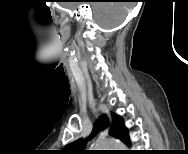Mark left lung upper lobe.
<instances>
[{
	"label": "left lung upper lobe",
	"instance_id": "1",
	"mask_svg": "<svg viewBox=\"0 0 188 154\" xmlns=\"http://www.w3.org/2000/svg\"><path fill=\"white\" fill-rule=\"evenodd\" d=\"M112 127L109 134L115 138L123 140L127 129L124 125L123 119L115 113H112ZM108 118L106 116L101 117V119L95 124L94 129H104L108 126ZM86 141L83 139L76 140L68 144L64 150L68 154H86L85 151Z\"/></svg>",
	"mask_w": 188,
	"mask_h": 154
}]
</instances>
